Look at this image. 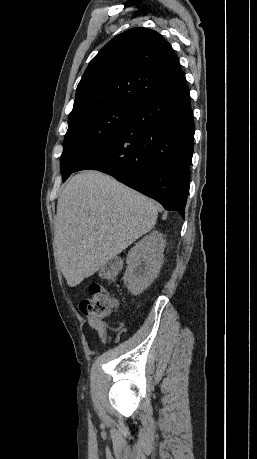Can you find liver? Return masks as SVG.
I'll list each match as a JSON object with an SVG mask.
<instances>
[{
    "label": "liver",
    "instance_id": "1",
    "mask_svg": "<svg viewBox=\"0 0 257 459\" xmlns=\"http://www.w3.org/2000/svg\"><path fill=\"white\" fill-rule=\"evenodd\" d=\"M152 200L98 171L75 175L57 202L55 240L61 271L79 285L156 224Z\"/></svg>",
    "mask_w": 257,
    "mask_h": 459
}]
</instances>
